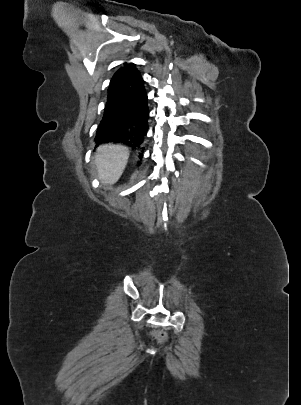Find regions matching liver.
Wrapping results in <instances>:
<instances>
[{
  "instance_id": "1",
  "label": "liver",
  "mask_w": 301,
  "mask_h": 405,
  "mask_svg": "<svg viewBox=\"0 0 301 405\" xmlns=\"http://www.w3.org/2000/svg\"><path fill=\"white\" fill-rule=\"evenodd\" d=\"M129 158L127 147L118 144L101 145L95 155L98 178L105 185H113L121 177Z\"/></svg>"
}]
</instances>
